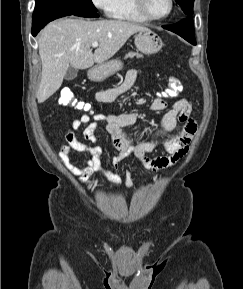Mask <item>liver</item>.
Returning <instances> with one entry per match:
<instances>
[{
	"label": "liver",
	"instance_id": "6515ba94",
	"mask_svg": "<svg viewBox=\"0 0 243 289\" xmlns=\"http://www.w3.org/2000/svg\"><path fill=\"white\" fill-rule=\"evenodd\" d=\"M147 28L122 20L58 19L49 23L38 39L42 61L38 103H43L62 85L70 66L87 69L113 57L134 34ZM99 45L94 53L92 42Z\"/></svg>",
	"mask_w": 243,
	"mask_h": 289
}]
</instances>
